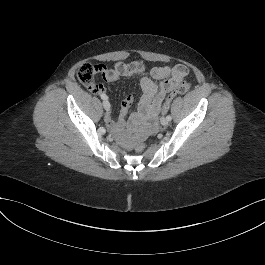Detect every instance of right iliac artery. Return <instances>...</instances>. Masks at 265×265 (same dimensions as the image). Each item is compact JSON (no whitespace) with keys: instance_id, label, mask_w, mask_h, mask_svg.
Masks as SVG:
<instances>
[{"instance_id":"82829eb1","label":"right iliac artery","mask_w":265,"mask_h":265,"mask_svg":"<svg viewBox=\"0 0 265 265\" xmlns=\"http://www.w3.org/2000/svg\"><path fill=\"white\" fill-rule=\"evenodd\" d=\"M100 97H101V99H103V100H107V99H108V97H107L105 94H101Z\"/></svg>"}]
</instances>
